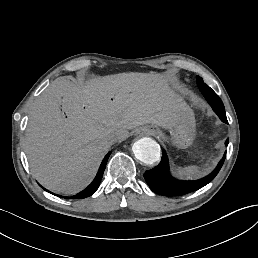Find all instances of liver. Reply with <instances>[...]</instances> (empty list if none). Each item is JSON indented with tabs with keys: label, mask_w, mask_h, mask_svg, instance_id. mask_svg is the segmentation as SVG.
I'll list each match as a JSON object with an SVG mask.
<instances>
[{
	"label": "liver",
	"mask_w": 258,
	"mask_h": 258,
	"mask_svg": "<svg viewBox=\"0 0 258 258\" xmlns=\"http://www.w3.org/2000/svg\"><path fill=\"white\" fill-rule=\"evenodd\" d=\"M173 83L170 75L138 72L97 76L80 86L56 79L35 102L26 127L32 175L55 193L83 190L109 151L108 133L123 141L140 125L177 124L183 98Z\"/></svg>",
	"instance_id": "6515ba94"
}]
</instances>
